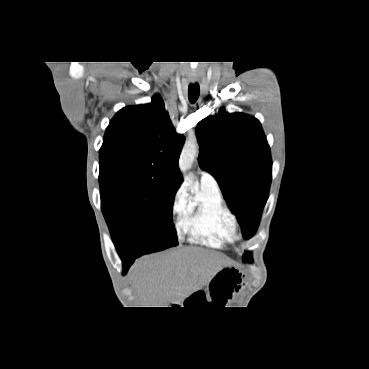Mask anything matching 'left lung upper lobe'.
<instances>
[{
  "label": "left lung upper lobe",
  "instance_id": "1",
  "mask_svg": "<svg viewBox=\"0 0 369 369\" xmlns=\"http://www.w3.org/2000/svg\"><path fill=\"white\" fill-rule=\"evenodd\" d=\"M200 167L214 176L249 239L257 230L271 184L270 148L260 122L244 113H219L198 123ZM244 262L252 261L250 253Z\"/></svg>",
  "mask_w": 369,
  "mask_h": 369
}]
</instances>
